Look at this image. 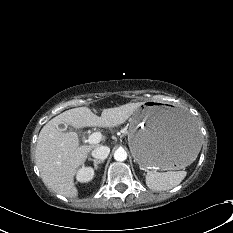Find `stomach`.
Returning a JSON list of instances; mask_svg holds the SVG:
<instances>
[{"instance_id":"0dacf381","label":"stomach","mask_w":233,"mask_h":233,"mask_svg":"<svg viewBox=\"0 0 233 233\" xmlns=\"http://www.w3.org/2000/svg\"><path fill=\"white\" fill-rule=\"evenodd\" d=\"M128 142L145 168L172 170L189 165L200 151L196 123L183 108L146 102L129 120Z\"/></svg>"}]
</instances>
